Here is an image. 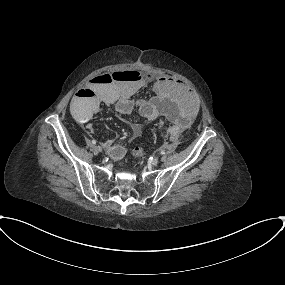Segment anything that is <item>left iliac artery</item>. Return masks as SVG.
I'll return each mask as SVG.
<instances>
[{
  "instance_id": "44dca946",
  "label": "left iliac artery",
  "mask_w": 285,
  "mask_h": 285,
  "mask_svg": "<svg viewBox=\"0 0 285 285\" xmlns=\"http://www.w3.org/2000/svg\"><path fill=\"white\" fill-rule=\"evenodd\" d=\"M161 154H164V151H161Z\"/></svg>"
}]
</instances>
